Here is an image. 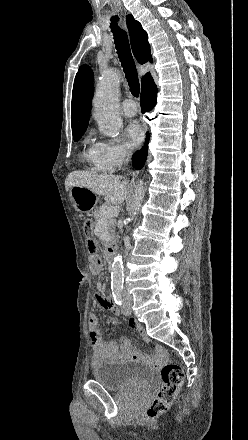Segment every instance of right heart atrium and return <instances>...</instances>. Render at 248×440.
I'll use <instances>...</instances> for the list:
<instances>
[{
	"instance_id": "1",
	"label": "right heart atrium",
	"mask_w": 248,
	"mask_h": 440,
	"mask_svg": "<svg viewBox=\"0 0 248 440\" xmlns=\"http://www.w3.org/2000/svg\"><path fill=\"white\" fill-rule=\"evenodd\" d=\"M100 159L108 171L120 167L130 154L129 147L122 142L102 141L98 144Z\"/></svg>"
}]
</instances>
